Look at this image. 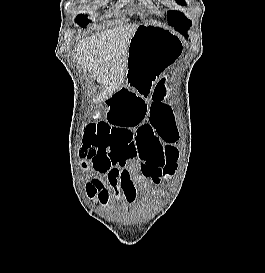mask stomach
I'll list each match as a JSON object with an SVG mask.
<instances>
[{"label": "stomach", "mask_w": 265, "mask_h": 273, "mask_svg": "<svg viewBox=\"0 0 265 273\" xmlns=\"http://www.w3.org/2000/svg\"><path fill=\"white\" fill-rule=\"evenodd\" d=\"M182 44L170 31L152 24L138 25L128 49L127 85L133 95H148L153 83L177 59Z\"/></svg>", "instance_id": "obj_1"}]
</instances>
